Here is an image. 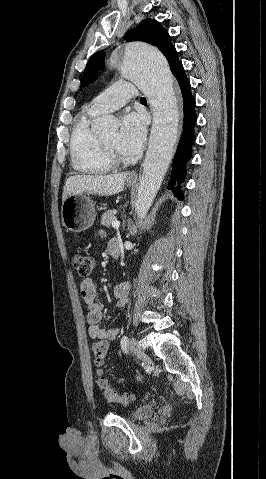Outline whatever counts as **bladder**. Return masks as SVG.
Returning a JSON list of instances; mask_svg holds the SVG:
<instances>
[{
    "instance_id": "31cf9c89",
    "label": "bladder",
    "mask_w": 266,
    "mask_h": 479,
    "mask_svg": "<svg viewBox=\"0 0 266 479\" xmlns=\"http://www.w3.org/2000/svg\"><path fill=\"white\" fill-rule=\"evenodd\" d=\"M154 413V406L151 404L140 405L130 413V419L142 420L150 417Z\"/></svg>"
}]
</instances>
